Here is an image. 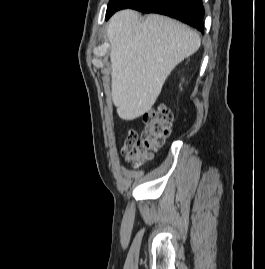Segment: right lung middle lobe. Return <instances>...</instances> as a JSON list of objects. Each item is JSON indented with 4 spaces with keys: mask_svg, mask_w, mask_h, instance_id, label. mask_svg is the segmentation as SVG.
I'll return each mask as SVG.
<instances>
[{
    "mask_svg": "<svg viewBox=\"0 0 265 269\" xmlns=\"http://www.w3.org/2000/svg\"><path fill=\"white\" fill-rule=\"evenodd\" d=\"M115 0H110L109 1V4H108V7H107V10L111 7V5L114 3Z\"/></svg>",
    "mask_w": 265,
    "mask_h": 269,
    "instance_id": "dd1d6c3e",
    "label": "right lung middle lobe"
}]
</instances>
